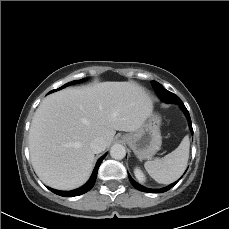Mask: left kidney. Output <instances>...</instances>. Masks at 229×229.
Returning <instances> with one entry per match:
<instances>
[{"mask_svg": "<svg viewBox=\"0 0 229 229\" xmlns=\"http://www.w3.org/2000/svg\"><path fill=\"white\" fill-rule=\"evenodd\" d=\"M134 174H135L136 178H137L140 182H144V181L146 180L145 175H144V173L141 171L140 168L136 167V168L134 169Z\"/></svg>", "mask_w": 229, "mask_h": 229, "instance_id": "left-kidney-1", "label": "left kidney"}]
</instances>
